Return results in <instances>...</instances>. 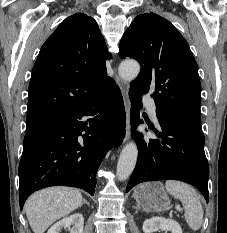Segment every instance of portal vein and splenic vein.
Returning a JSON list of instances; mask_svg holds the SVG:
<instances>
[{
    "label": "portal vein and splenic vein",
    "mask_w": 227,
    "mask_h": 233,
    "mask_svg": "<svg viewBox=\"0 0 227 233\" xmlns=\"http://www.w3.org/2000/svg\"><path fill=\"white\" fill-rule=\"evenodd\" d=\"M180 209H181L180 206H178V207H177V210L179 211Z\"/></svg>",
    "instance_id": "18ae733b"
}]
</instances>
